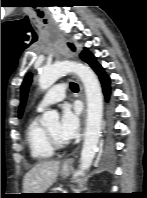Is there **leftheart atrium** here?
<instances>
[{"mask_svg":"<svg viewBox=\"0 0 147 198\" xmlns=\"http://www.w3.org/2000/svg\"><path fill=\"white\" fill-rule=\"evenodd\" d=\"M79 119L77 114L68 106L63 108L60 122L58 123L57 135L62 142H68L77 134Z\"/></svg>","mask_w":147,"mask_h":198,"instance_id":"39dd6f15","label":"left heart atrium"}]
</instances>
